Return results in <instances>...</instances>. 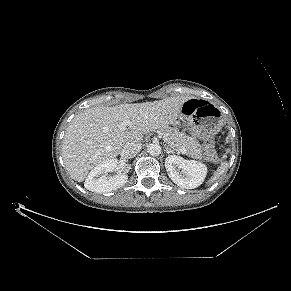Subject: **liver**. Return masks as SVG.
<instances>
[{
  "label": "liver",
  "instance_id": "obj_1",
  "mask_svg": "<svg viewBox=\"0 0 291 291\" xmlns=\"http://www.w3.org/2000/svg\"><path fill=\"white\" fill-rule=\"evenodd\" d=\"M189 96L159 101L92 107L76 115L66 129L62 157L71 178L83 182L95 166L116 158L124 145L140 142L145 134L174 124ZM129 120V130H121Z\"/></svg>",
  "mask_w": 291,
  "mask_h": 291
}]
</instances>
